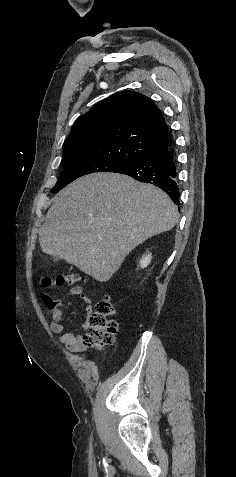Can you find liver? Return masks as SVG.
<instances>
[{"label":"liver","mask_w":236,"mask_h":477,"mask_svg":"<svg viewBox=\"0 0 236 477\" xmlns=\"http://www.w3.org/2000/svg\"><path fill=\"white\" fill-rule=\"evenodd\" d=\"M178 210L159 188L118 173H94L63 189L39 230L44 253L108 281L139 244L171 230Z\"/></svg>","instance_id":"liver-1"}]
</instances>
